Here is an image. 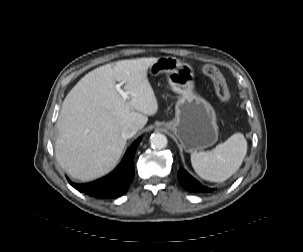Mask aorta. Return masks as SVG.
Here are the masks:
<instances>
[{
    "instance_id": "obj_1",
    "label": "aorta",
    "mask_w": 303,
    "mask_h": 252,
    "mask_svg": "<svg viewBox=\"0 0 303 252\" xmlns=\"http://www.w3.org/2000/svg\"><path fill=\"white\" fill-rule=\"evenodd\" d=\"M167 137L161 133H154L150 137V144L154 149H163L167 146Z\"/></svg>"
}]
</instances>
